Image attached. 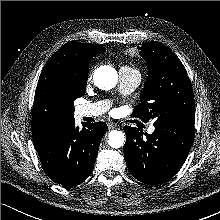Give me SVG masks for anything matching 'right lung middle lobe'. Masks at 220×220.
I'll list each match as a JSON object with an SVG mask.
<instances>
[{
  "label": "right lung middle lobe",
  "instance_id": "right-lung-middle-lobe-1",
  "mask_svg": "<svg viewBox=\"0 0 220 220\" xmlns=\"http://www.w3.org/2000/svg\"><path fill=\"white\" fill-rule=\"evenodd\" d=\"M87 73L88 70L86 71L85 75L81 78L70 77L65 81V95L72 107H74V100L85 94L86 83L88 78Z\"/></svg>",
  "mask_w": 220,
  "mask_h": 220
}]
</instances>
